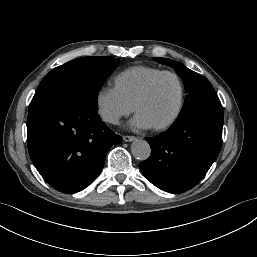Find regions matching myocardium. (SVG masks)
Masks as SVG:
<instances>
[{"label": "myocardium", "mask_w": 257, "mask_h": 257, "mask_svg": "<svg viewBox=\"0 0 257 257\" xmlns=\"http://www.w3.org/2000/svg\"><path fill=\"white\" fill-rule=\"evenodd\" d=\"M164 76H172L175 78V80L178 83L179 86V100H178V104L177 107L174 111V113L172 114V116L166 120L165 122L158 124V125H154L152 126V128L154 130L160 131V130H164L169 128L170 126H172L180 117L181 112L183 110L184 107V103H185V95H186V91H185V85L184 82L182 80V78L175 72L173 71H162L159 74H157L155 77H153L144 87V89L141 91V93L138 95L137 99L134 102V110L137 112L138 106L148 98V96L151 94L155 84Z\"/></svg>", "instance_id": "1"}]
</instances>
